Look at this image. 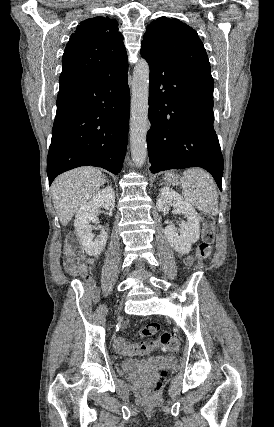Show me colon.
<instances>
[{
  "mask_svg": "<svg viewBox=\"0 0 274 427\" xmlns=\"http://www.w3.org/2000/svg\"><path fill=\"white\" fill-rule=\"evenodd\" d=\"M215 239L214 219L210 215L203 217V229L201 234V240L197 245L194 256L190 259L192 263L195 258L205 259L208 258L212 251V244ZM64 268L69 273L77 272L81 265L77 257L78 244L73 235H70L64 245ZM160 331V327L156 323L146 324L139 331L138 337L143 340L146 337L152 336ZM159 341L162 344L163 350L167 353L173 354L178 350L179 340L172 336L170 333L164 332L159 335ZM154 345L153 342L146 344L144 342L132 343L125 337H118L114 341V348L119 354H131L136 353L137 356H146L150 347ZM163 374L157 376L155 380L151 381V386H142V395H158L159 389L164 387Z\"/></svg>",
  "mask_w": 274,
  "mask_h": 427,
  "instance_id": "obj_1",
  "label": "colon"
}]
</instances>
